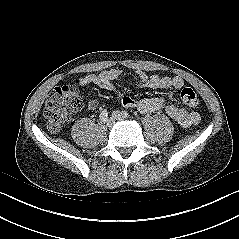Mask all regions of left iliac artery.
<instances>
[{"label":"left iliac artery","instance_id":"left-iliac-artery-1","mask_svg":"<svg viewBox=\"0 0 239 239\" xmlns=\"http://www.w3.org/2000/svg\"><path fill=\"white\" fill-rule=\"evenodd\" d=\"M122 114H123L125 117H128V116H129V114H128L127 111H123Z\"/></svg>","mask_w":239,"mask_h":239}]
</instances>
